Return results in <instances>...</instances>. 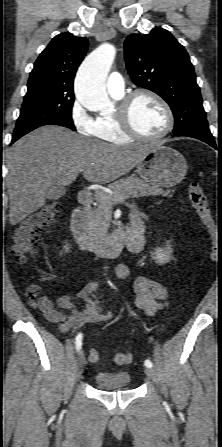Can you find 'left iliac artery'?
I'll use <instances>...</instances> for the list:
<instances>
[{"label":"left iliac artery","mask_w":222,"mask_h":447,"mask_svg":"<svg viewBox=\"0 0 222 447\" xmlns=\"http://www.w3.org/2000/svg\"><path fill=\"white\" fill-rule=\"evenodd\" d=\"M145 366L151 368L153 364L150 360H145Z\"/></svg>","instance_id":"obj_1"}]
</instances>
